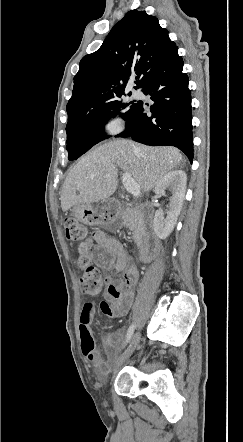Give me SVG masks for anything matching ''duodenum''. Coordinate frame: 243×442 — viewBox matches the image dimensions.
I'll return each instance as SVG.
<instances>
[{
    "instance_id": "duodenum-1",
    "label": "duodenum",
    "mask_w": 243,
    "mask_h": 442,
    "mask_svg": "<svg viewBox=\"0 0 243 442\" xmlns=\"http://www.w3.org/2000/svg\"><path fill=\"white\" fill-rule=\"evenodd\" d=\"M138 220L142 228L143 241L139 250V258L142 262L150 261L158 247V239L154 231L151 210L148 205H141Z\"/></svg>"
}]
</instances>
